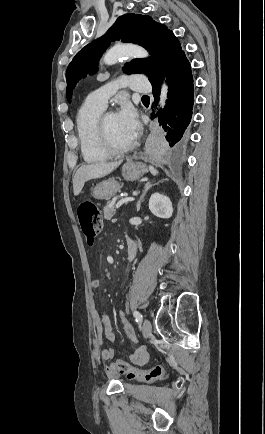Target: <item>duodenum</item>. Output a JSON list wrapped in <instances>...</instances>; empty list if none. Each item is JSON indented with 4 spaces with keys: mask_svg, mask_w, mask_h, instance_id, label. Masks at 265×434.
<instances>
[{
    "mask_svg": "<svg viewBox=\"0 0 265 434\" xmlns=\"http://www.w3.org/2000/svg\"><path fill=\"white\" fill-rule=\"evenodd\" d=\"M137 249H138L137 244L134 240L128 244L127 253H126L127 262L133 260L136 257Z\"/></svg>",
    "mask_w": 265,
    "mask_h": 434,
    "instance_id": "410a0bca",
    "label": "duodenum"
}]
</instances>
